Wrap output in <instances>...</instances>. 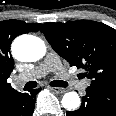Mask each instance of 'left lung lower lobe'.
Masks as SVG:
<instances>
[{"label": "left lung lower lobe", "instance_id": "0a47b994", "mask_svg": "<svg viewBox=\"0 0 116 116\" xmlns=\"http://www.w3.org/2000/svg\"><path fill=\"white\" fill-rule=\"evenodd\" d=\"M67 116H116V89L87 87L78 110Z\"/></svg>", "mask_w": 116, "mask_h": 116}]
</instances>
